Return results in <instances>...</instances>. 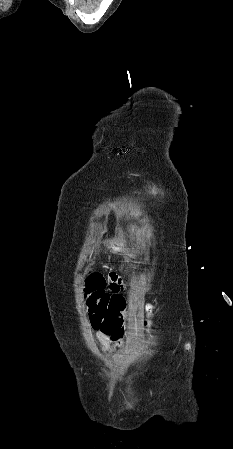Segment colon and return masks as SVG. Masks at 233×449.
<instances>
[{
	"mask_svg": "<svg viewBox=\"0 0 233 449\" xmlns=\"http://www.w3.org/2000/svg\"><path fill=\"white\" fill-rule=\"evenodd\" d=\"M109 282V277L97 271H90L86 276L91 323L93 328H126L131 320L127 303L120 293H106ZM141 324L145 327L148 323L144 320Z\"/></svg>",
	"mask_w": 233,
	"mask_h": 449,
	"instance_id": "obj_1",
	"label": "colon"
}]
</instances>
